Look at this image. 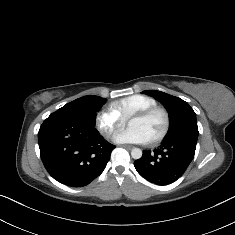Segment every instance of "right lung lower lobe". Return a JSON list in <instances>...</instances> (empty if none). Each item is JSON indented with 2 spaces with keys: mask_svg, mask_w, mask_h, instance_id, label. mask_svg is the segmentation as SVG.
I'll use <instances>...</instances> for the list:
<instances>
[{
  "mask_svg": "<svg viewBox=\"0 0 235 235\" xmlns=\"http://www.w3.org/2000/svg\"><path fill=\"white\" fill-rule=\"evenodd\" d=\"M38 141L47 172L71 187L88 185L98 177L115 148L94 126L53 114L41 125Z\"/></svg>",
  "mask_w": 235,
  "mask_h": 235,
  "instance_id": "obj_1",
  "label": "right lung lower lobe"
}]
</instances>
